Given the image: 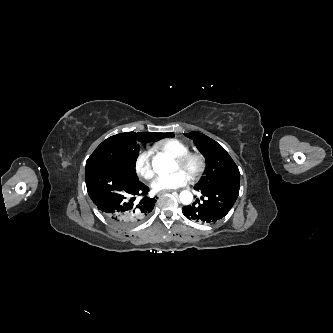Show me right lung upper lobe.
Masks as SVG:
<instances>
[{"instance_id":"right-lung-upper-lobe-1","label":"right lung upper lobe","mask_w":333,"mask_h":333,"mask_svg":"<svg viewBox=\"0 0 333 333\" xmlns=\"http://www.w3.org/2000/svg\"><path fill=\"white\" fill-rule=\"evenodd\" d=\"M124 135L127 137V139L135 146L139 147V142H148V141H158L161 138L157 137V133H135V132H126Z\"/></svg>"}]
</instances>
